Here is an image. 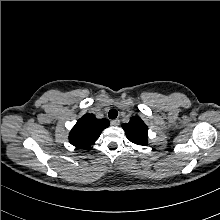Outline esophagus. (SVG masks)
Here are the masks:
<instances>
[{
    "instance_id": "esophagus-1",
    "label": "esophagus",
    "mask_w": 220,
    "mask_h": 220,
    "mask_svg": "<svg viewBox=\"0 0 220 220\" xmlns=\"http://www.w3.org/2000/svg\"><path fill=\"white\" fill-rule=\"evenodd\" d=\"M120 124V120L119 119H114L111 121V125L112 126H118Z\"/></svg>"
}]
</instances>
